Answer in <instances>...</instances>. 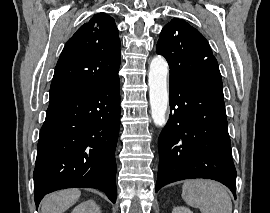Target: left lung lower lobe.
<instances>
[{
	"label": "left lung lower lobe",
	"mask_w": 270,
	"mask_h": 213,
	"mask_svg": "<svg viewBox=\"0 0 270 213\" xmlns=\"http://www.w3.org/2000/svg\"><path fill=\"white\" fill-rule=\"evenodd\" d=\"M169 83L170 116L158 140L156 192L171 182L206 178L223 183L236 197L223 94L196 84Z\"/></svg>",
	"instance_id": "0a47b994"
}]
</instances>
